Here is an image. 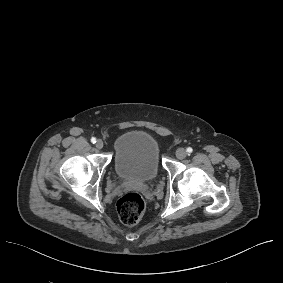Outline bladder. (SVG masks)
<instances>
[{
	"label": "bladder",
	"mask_w": 283,
	"mask_h": 283,
	"mask_svg": "<svg viewBox=\"0 0 283 283\" xmlns=\"http://www.w3.org/2000/svg\"><path fill=\"white\" fill-rule=\"evenodd\" d=\"M114 167L122 178L152 180L160 170V150L156 140L141 131L123 133L115 142Z\"/></svg>",
	"instance_id": "bladder-1"
}]
</instances>
